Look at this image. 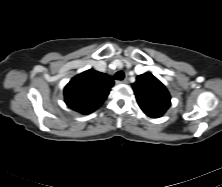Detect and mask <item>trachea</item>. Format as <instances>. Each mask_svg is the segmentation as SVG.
I'll return each instance as SVG.
<instances>
[{
	"mask_svg": "<svg viewBox=\"0 0 222 187\" xmlns=\"http://www.w3.org/2000/svg\"><path fill=\"white\" fill-rule=\"evenodd\" d=\"M115 79L116 80H123L125 75H124V72L123 71H118L116 74H115Z\"/></svg>",
	"mask_w": 222,
	"mask_h": 187,
	"instance_id": "1",
	"label": "trachea"
}]
</instances>
